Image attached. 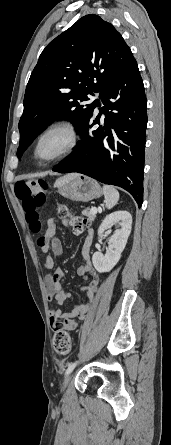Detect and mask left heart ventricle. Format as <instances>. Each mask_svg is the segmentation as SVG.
<instances>
[{"instance_id":"1","label":"left heart ventricle","mask_w":171,"mask_h":445,"mask_svg":"<svg viewBox=\"0 0 171 445\" xmlns=\"http://www.w3.org/2000/svg\"><path fill=\"white\" fill-rule=\"evenodd\" d=\"M66 143L63 133H52L46 136L39 145L38 154L42 158H48L58 153Z\"/></svg>"}]
</instances>
